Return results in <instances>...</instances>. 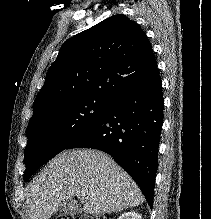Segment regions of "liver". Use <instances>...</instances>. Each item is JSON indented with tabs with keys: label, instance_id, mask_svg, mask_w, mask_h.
<instances>
[{
	"label": "liver",
	"instance_id": "obj_1",
	"mask_svg": "<svg viewBox=\"0 0 211 219\" xmlns=\"http://www.w3.org/2000/svg\"><path fill=\"white\" fill-rule=\"evenodd\" d=\"M77 197L82 211L100 215L139 206L144 198L132 178L107 154L91 149L64 151L28 189L29 219H49L60 204Z\"/></svg>",
	"mask_w": 211,
	"mask_h": 219
}]
</instances>
